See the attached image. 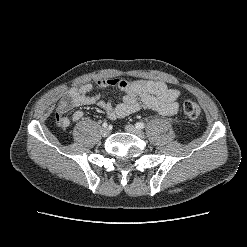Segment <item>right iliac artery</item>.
Listing matches in <instances>:
<instances>
[{"label": "right iliac artery", "instance_id": "1", "mask_svg": "<svg viewBox=\"0 0 247 247\" xmlns=\"http://www.w3.org/2000/svg\"><path fill=\"white\" fill-rule=\"evenodd\" d=\"M102 126H103V127H107L108 124H107L106 122H104V123L102 124Z\"/></svg>", "mask_w": 247, "mask_h": 247}]
</instances>
